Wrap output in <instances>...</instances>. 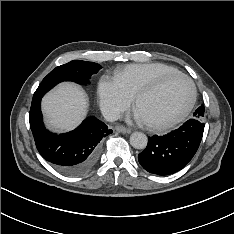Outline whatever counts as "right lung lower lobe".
Returning <instances> with one entry per match:
<instances>
[{
	"instance_id": "98d812e1",
	"label": "right lung lower lobe",
	"mask_w": 234,
	"mask_h": 234,
	"mask_svg": "<svg viewBox=\"0 0 234 234\" xmlns=\"http://www.w3.org/2000/svg\"><path fill=\"white\" fill-rule=\"evenodd\" d=\"M29 121L41 156L57 170L71 176L83 174L96 163L101 139L112 133L93 116L73 131L59 135L51 133L42 121L41 98L32 101Z\"/></svg>"
}]
</instances>
